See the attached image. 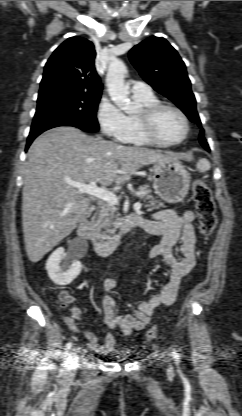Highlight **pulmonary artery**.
Returning <instances> with one entry per match:
<instances>
[{
  "label": "pulmonary artery",
  "instance_id": "e3ab8cb5",
  "mask_svg": "<svg viewBox=\"0 0 242 416\" xmlns=\"http://www.w3.org/2000/svg\"><path fill=\"white\" fill-rule=\"evenodd\" d=\"M130 86L133 95H146L152 92L151 87L144 82L131 81Z\"/></svg>",
  "mask_w": 242,
  "mask_h": 416
}]
</instances>
